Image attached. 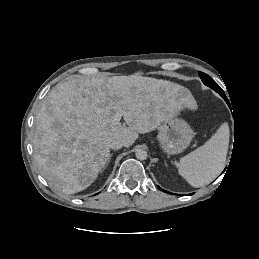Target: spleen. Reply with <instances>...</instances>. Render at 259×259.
Listing matches in <instances>:
<instances>
[{
	"label": "spleen",
	"instance_id": "1",
	"mask_svg": "<svg viewBox=\"0 0 259 259\" xmlns=\"http://www.w3.org/2000/svg\"><path fill=\"white\" fill-rule=\"evenodd\" d=\"M229 146V126L223 123L202 146L182 157L179 174L193 187L213 181L223 170Z\"/></svg>",
	"mask_w": 259,
	"mask_h": 259
}]
</instances>
